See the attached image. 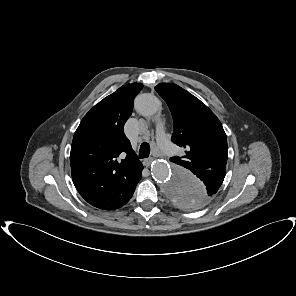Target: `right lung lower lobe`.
I'll list each match as a JSON object with an SVG mask.
<instances>
[{
    "label": "right lung lower lobe",
    "mask_w": 296,
    "mask_h": 296,
    "mask_svg": "<svg viewBox=\"0 0 296 296\" xmlns=\"http://www.w3.org/2000/svg\"><path fill=\"white\" fill-rule=\"evenodd\" d=\"M142 169H143V167H142ZM142 169L139 171V174H138V176H137V183H138V181L141 179V176H142Z\"/></svg>",
    "instance_id": "1"
}]
</instances>
